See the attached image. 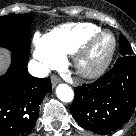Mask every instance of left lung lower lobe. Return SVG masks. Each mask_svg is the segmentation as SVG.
<instances>
[{
    "label": "left lung lower lobe",
    "instance_id": "0a47b994",
    "mask_svg": "<svg viewBox=\"0 0 136 136\" xmlns=\"http://www.w3.org/2000/svg\"><path fill=\"white\" fill-rule=\"evenodd\" d=\"M135 105L136 57L126 55L93 84L76 87L70 110L81 127L105 134L128 121Z\"/></svg>",
    "mask_w": 136,
    "mask_h": 136
}]
</instances>
